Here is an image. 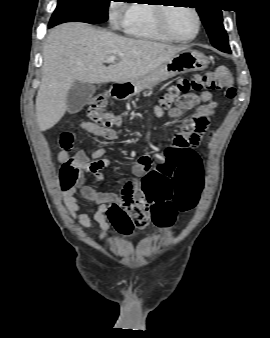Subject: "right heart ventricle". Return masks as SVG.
Listing matches in <instances>:
<instances>
[{"mask_svg": "<svg viewBox=\"0 0 270 338\" xmlns=\"http://www.w3.org/2000/svg\"><path fill=\"white\" fill-rule=\"evenodd\" d=\"M155 7L150 4H134L130 6L128 9V19L122 26L125 33L145 40L169 41L156 26Z\"/></svg>", "mask_w": 270, "mask_h": 338, "instance_id": "1", "label": "right heart ventricle"}]
</instances>
